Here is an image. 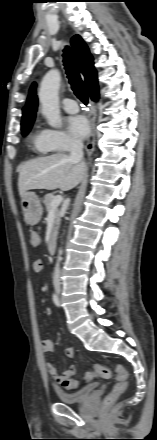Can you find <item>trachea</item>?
Returning <instances> with one entry per match:
<instances>
[{
  "instance_id": "obj_1",
  "label": "trachea",
  "mask_w": 157,
  "mask_h": 440,
  "mask_svg": "<svg viewBox=\"0 0 157 440\" xmlns=\"http://www.w3.org/2000/svg\"><path fill=\"white\" fill-rule=\"evenodd\" d=\"M63 62L69 83L74 94L85 104L88 103L86 87L81 79L79 69L72 50L65 47L63 50Z\"/></svg>"
}]
</instances>
